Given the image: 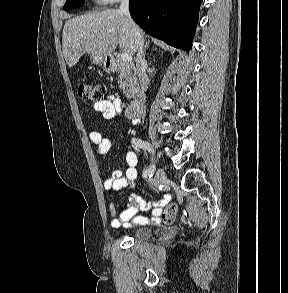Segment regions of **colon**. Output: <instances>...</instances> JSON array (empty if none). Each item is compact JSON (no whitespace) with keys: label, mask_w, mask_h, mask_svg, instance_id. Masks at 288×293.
<instances>
[{"label":"colon","mask_w":288,"mask_h":293,"mask_svg":"<svg viewBox=\"0 0 288 293\" xmlns=\"http://www.w3.org/2000/svg\"><path fill=\"white\" fill-rule=\"evenodd\" d=\"M105 92L106 86L98 82H84L77 88V93L81 99L94 103L103 100ZM177 212L178 207L175 204L168 205L161 213V221L166 224L171 223L175 219Z\"/></svg>","instance_id":"1"}]
</instances>
